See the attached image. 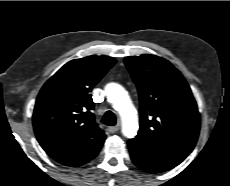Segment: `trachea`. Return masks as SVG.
<instances>
[{
    "mask_svg": "<svg viewBox=\"0 0 230 186\" xmlns=\"http://www.w3.org/2000/svg\"><path fill=\"white\" fill-rule=\"evenodd\" d=\"M101 122L108 126H114L116 124V116L112 111H107Z\"/></svg>",
    "mask_w": 230,
    "mask_h": 186,
    "instance_id": "1",
    "label": "trachea"
}]
</instances>
